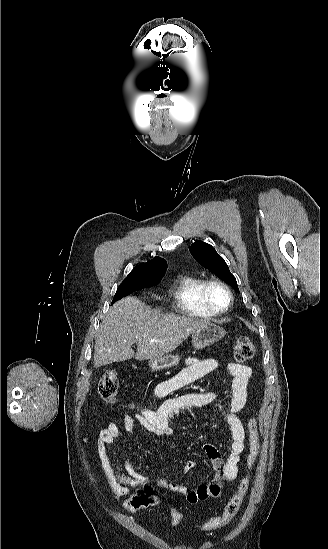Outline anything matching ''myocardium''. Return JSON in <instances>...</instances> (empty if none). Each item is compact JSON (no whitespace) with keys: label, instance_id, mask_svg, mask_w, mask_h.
I'll list each match as a JSON object with an SVG mask.
<instances>
[{"label":"myocardium","instance_id":"myocardium-1","mask_svg":"<svg viewBox=\"0 0 328 549\" xmlns=\"http://www.w3.org/2000/svg\"><path fill=\"white\" fill-rule=\"evenodd\" d=\"M214 288H221L225 290L229 296V302L227 306L223 309H218L213 305V302L211 300V292ZM201 297L203 300V311L213 317H222L226 315L231 311L234 305V293L232 288L227 283L220 280L208 281L202 289Z\"/></svg>","mask_w":328,"mask_h":549}]
</instances>
